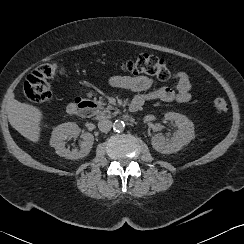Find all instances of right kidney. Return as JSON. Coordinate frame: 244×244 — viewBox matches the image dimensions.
<instances>
[{
    "instance_id": "obj_1",
    "label": "right kidney",
    "mask_w": 244,
    "mask_h": 244,
    "mask_svg": "<svg viewBox=\"0 0 244 244\" xmlns=\"http://www.w3.org/2000/svg\"><path fill=\"white\" fill-rule=\"evenodd\" d=\"M82 138L80 149L70 150L65 147L66 140L71 138ZM94 143V136L88 132H82L80 127L74 122L60 124L53 129L50 145L55 149L56 154L66 159L76 160L87 156Z\"/></svg>"
}]
</instances>
